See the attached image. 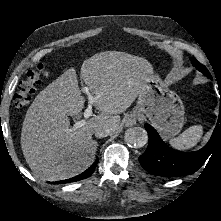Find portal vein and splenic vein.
I'll return each mask as SVG.
<instances>
[{
	"label": "portal vein and splenic vein",
	"instance_id": "obj_1",
	"mask_svg": "<svg viewBox=\"0 0 221 221\" xmlns=\"http://www.w3.org/2000/svg\"><path fill=\"white\" fill-rule=\"evenodd\" d=\"M83 92L87 95L88 98V106L84 111V118L88 119L92 116V105L98 100L99 96H93L88 87H84ZM85 119L76 122L73 125L72 131H75L78 128L84 126L86 124Z\"/></svg>",
	"mask_w": 221,
	"mask_h": 221
}]
</instances>
